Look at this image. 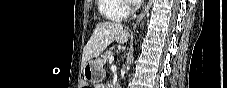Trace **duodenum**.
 I'll use <instances>...</instances> for the list:
<instances>
[{
    "instance_id": "410a0bca",
    "label": "duodenum",
    "mask_w": 227,
    "mask_h": 88,
    "mask_svg": "<svg viewBox=\"0 0 227 88\" xmlns=\"http://www.w3.org/2000/svg\"><path fill=\"white\" fill-rule=\"evenodd\" d=\"M112 88H119L120 86H119V84H114L113 86H111Z\"/></svg>"
}]
</instances>
